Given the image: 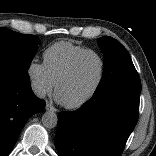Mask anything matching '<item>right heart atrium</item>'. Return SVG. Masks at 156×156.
<instances>
[{"mask_svg": "<svg viewBox=\"0 0 156 156\" xmlns=\"http://www.w3.org/2000/svg\"><path fill=\"white\" fill-rule=\"evenodd\" d=\"M27 75L30 86L38 97H44L54 89L55 83L49 76L44 63L31 61L27 67Z\"/></svg>", "mask_w": 156, "mask_h": 156, "instance_id": "obj_1", "label": "right heart atrium"}]
</instances>
